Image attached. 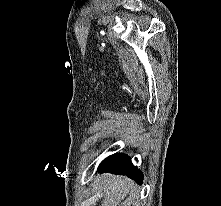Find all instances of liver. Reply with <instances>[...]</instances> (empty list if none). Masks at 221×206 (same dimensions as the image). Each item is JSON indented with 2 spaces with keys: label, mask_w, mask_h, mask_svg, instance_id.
<instances>
[{
  "label": "liver",
  "mask_w": 221,
  "mask_h": 206,
  "mask_svg": "<svg viewBox=\"0 0 221 206\" xmlns=\"http://www.w3.org/2000/svg\"><path fill=\"white\" fill-rule=\"evenodd\" d=\"M133 182L124 176H116L103 174L96 181L95 188H98L103 193V201L101 206H131L135 197L129 196ZM126 198L125 203L122 200Z\"/></svg>",
  "instance_id": "6515ba94"
}]
</instances>
